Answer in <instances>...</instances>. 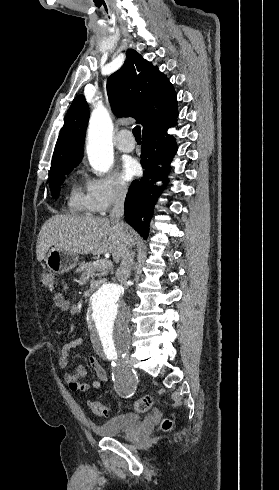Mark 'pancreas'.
<instances>
[{"label":"pancreas","instance_id":"pancreas-1","mask_svg":"<svg viewBox=\"0 0 279 490\" xmlns=\"http://www.w3.org/2000/svg\"><path fill=\"white\" fill-rule=\"evenodd\" d=\"M109 270H112V266L108 262H105L104 266L103 264L96 266L93 262H81L79 268H76V274H82L81 278L89 280L94 276H107Z\"/></svg>","mask_w":279,"mask_h":490}]
</instances>
